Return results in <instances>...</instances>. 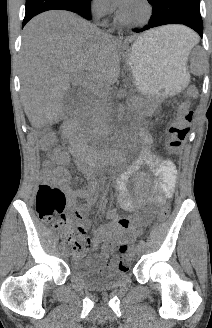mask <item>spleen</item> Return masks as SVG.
I'll return each mask as SVG.
<instances>
[{
  "mask_svg": "<svg viewBox=\"0 0 212 328\" xmlns=\"http://www.w3.org/2000/svg\"><path fill=\"white\" fill-rule=\"evenodd\" d=\"M193 35H195V37H189L188 41L186 42L185 47L183 48V55L185 57V59L187 60L188 55L191 51V49L194 47V45L198 42V38L196 37V34L193 32Z\"/></svg>",
  "mask_w": 212,
  "mask_h": 328,
  "instance_id": "1",
  "label": "spleen"
}]
</instances>
